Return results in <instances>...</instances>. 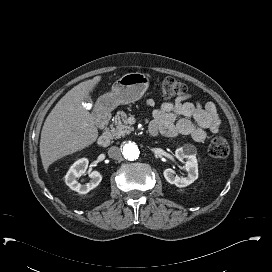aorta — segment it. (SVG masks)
Here are the masks:
<instances>
[{
	"label": "aorta",
	"mask_w": 272,
	"mask_h": 272,
	"mask_svg": "<svg viewBox=\"0 0 272 272\" xmlns=\"http://www.w3.org/2000/svg\"><path fill=\"white\" fill-rule=\"evenodd\" d=\"M122 154L125 159L133 161L138 159L140 154L139 146L134 141H127L123 144Z\"/></svg>",
	"instance_id": "aorta-1"
}]
</instances>
